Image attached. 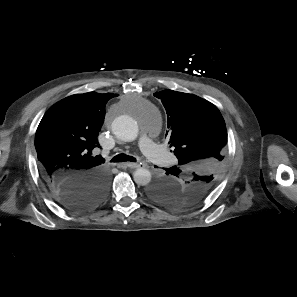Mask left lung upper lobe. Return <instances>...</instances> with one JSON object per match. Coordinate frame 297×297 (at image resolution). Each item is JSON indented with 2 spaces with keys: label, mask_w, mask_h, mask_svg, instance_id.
Returning <instances> with one entry per match:
<instances>
[{
  "label": "left lung upper lobe",
  "mask_w": 297,
  "mask_h": 297,
  "mask_svg": "<svg viewBox=\"0 0 297 297\" xmlns=\"http://www.w3.org/2000/svg\"><path fill=\"white\" fill-rule=\"evenodd\" d=\"M166 109L168 144L178 165L147 190L155 202L175 209L203 200L222 173L227 131L215 105L193 94L164 90L154 93Z\"/></svg>",
  "instance_id": "left-lung-upper-lobe-1"
}]
</instances>
